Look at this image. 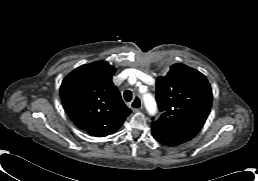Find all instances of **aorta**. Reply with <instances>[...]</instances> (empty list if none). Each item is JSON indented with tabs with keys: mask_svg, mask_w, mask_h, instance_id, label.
Here are the masks:
<instances>
[{
	"mask_svg": "<svg viewBox=\"0 0 258 181\" xmlns=\"http://www.w3.org/2000/svg\"><path fill=\"white\" fill-rule=\"evenodd\" d=\"M143 101L149 114L154 115L157 109V105L154 97L151 94H144Z\"/></svg>",
	"mask_w": 258,
	"mask_h": 181,
	"instance_id": "762f6f07",
	"label": "aorta"
}]
</instances>
